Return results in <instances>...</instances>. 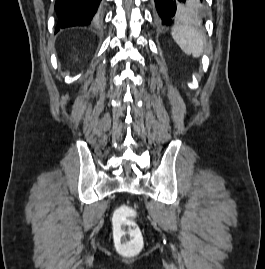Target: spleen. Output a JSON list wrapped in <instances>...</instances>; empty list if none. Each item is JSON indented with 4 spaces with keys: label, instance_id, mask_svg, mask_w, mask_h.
Segmentation results:
<instances>
[{
    "label": "spleen",
    "instance_id": "spleen-1",
    "mask_svg": "<svg viewBox=\"0 0 265 269\" xmlns=\"http://www.w3.org/2000/svg\"><path fill=\"white\" fill-rule=\"evenodd\" d=\"M171 35L185 54L198 58L203 53L204 37L196 28L187 25L175 26Z\"/></svg>",
    "mask_w": 265,
    "mask_h": 269
}]
</instances>
